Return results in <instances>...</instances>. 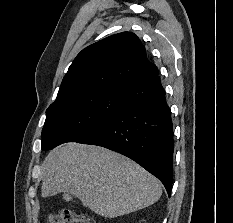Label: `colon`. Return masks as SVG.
I'll return each mask as SVG.
<instances>
[{"label":"colon","mask_w":233,"mask_h":223,"mask_svg":"<svg viewBox=\"0 0 233 223\" xmlns=\"http://www.w3.org/2000/svg\"><path fill=\"white\" fill-rule=\"evenodd\" d=\"M48 223H94V221L83 213L77 214L64 208L58 215H50Z\"/></svg>","instance_id":"obj_1"}]
</instances>
